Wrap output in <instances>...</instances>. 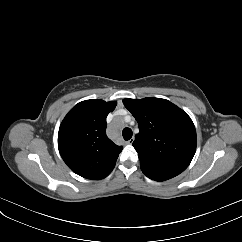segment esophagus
<instances>
[{
  "label": "esophagus",
  "mask_w": 242,
  "mask_h": 242,
  "mask_svg": "<svg viewBox=\"0 0 242 242\" xmlns=\"http://www.w3.org/2000/svg\"><path fill=\"white\" fill-rule=\"evenodd\" d=\"M133 141H134V139H133V138H131L130 140L126 141V144H132V143H133Z\"/></svg>",
  "instance_id": "esophagus-1"
}]
</instances>
